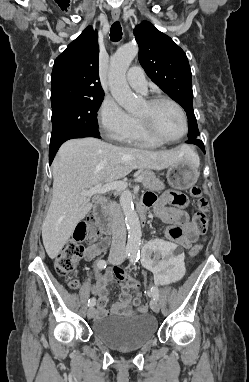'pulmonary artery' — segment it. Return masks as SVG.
<instances>
[{
	"mask_svg": "<svg viewBox=\"0 0 249 382\" xmlns=\"http://www.w3.org/2000/svg\"><path fill=\"white\" fill-rule=\"evenodd\" d=\"M128 84L135 90L146 92L147 80L143 69L140 66H132L126 75Z\"/></svg>",
	"mask_w": 249,
	"mask_h": 382,
	"instance_id": "e3ab8cb5",
	"label": "pulmonary artery"
}]
</instances>
